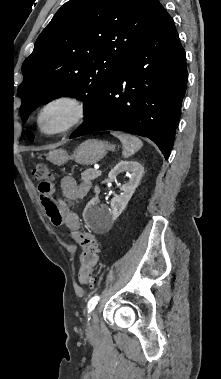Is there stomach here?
<instances>
[{
    "instance_id": "1",
    "label": "stomach",
    "mask_w": 221,
    "mask_h": 379,
    "mask_svg": "<svg viewBox=\"0 0 221 379\" xmlns=\"http://www.w3.org/2000/svg\"><path fill=\"white\" fill-rule=\"evenodd\" d=\"M113 146L108 142L89 139L80 144L73 152L68 155L64 149H54L48 153V160L56 165H63L68 160H74L81 165H93L99 162Z\"/></svg>"
}]
</instances>
